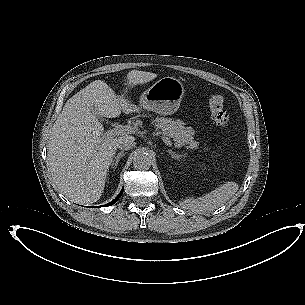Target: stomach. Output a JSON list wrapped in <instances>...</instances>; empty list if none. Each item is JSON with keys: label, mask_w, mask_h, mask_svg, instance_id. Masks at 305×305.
I'll use <instances>...</instances> for the list:
<instances>
[{"label": "stomach", "mask_w": 305, "mask_h": 305, "mask_svg": "<svg viewBox=\"0 0 305 305\" xmlns=\"http://www.w3.org/2000/svg\"><path fill=\"white\" fill-rule=\"evenodd\" d=\"M185 92L184 84L179 79L161 77L142 93L140 103L148 110L171 115L178 110Z\"/></svg>", "instance_id": "stomach-1"}]
</instances>
